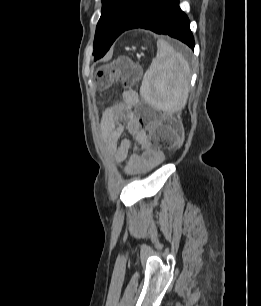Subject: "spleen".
<instances>
[{
  "label": "spleen",
  "instance_id": "spleen-1",
  "mask_svg": "<svg viewBox=\"0 0 261 306\" xmlns=\"http://www.w3.org/2000/svg\"><path fill=\"white\" fill-rule=\"evenodd\" d=\"M190 66L184 56L166 41H157V55L145 72L140 94L151 106L163 111L183 109L189 95Z\"/></svg>",
  "mask_w": 261,
  "mask_h": 306
}]
</instances>
